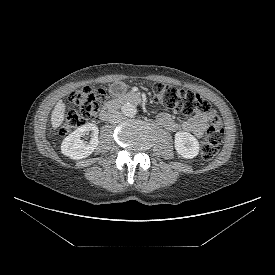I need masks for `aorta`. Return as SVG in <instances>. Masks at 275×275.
Here are the masks:
<instances>
[{
	"label": "aorta",
	"instance_id": "1",
	"mask_svg": "<svg viewBox=\"0 0 275 275\" xmlns=\"http://www.w3.org/2000/svg\"><path fill=\"white\" fill-rule=\"evenodd\" d=\"M122 114L126 117L132 118L137 113V108L131 103H125L121 107Z\"/></svg>",
	"mask_w": 275,
	"mask_h": 275
}]
</instances>
